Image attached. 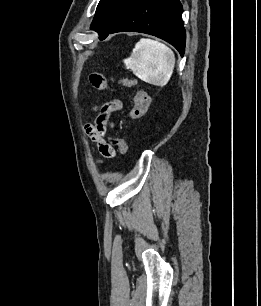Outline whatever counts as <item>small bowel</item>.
<instances>
[{
    "instance_id": "1",
    "label": "small bowel",
    "mask_w": 261,
    "mask_h": 306,
    "mask_svg": "<svg viewBox=\"0 0 261 306\" xmlns=\"http://www.w3.org/2000/svg\"><path fill=\"white\" fill-rule=\"evenodd\" d=\"M122 108V102L115 100L102 105L99 114L95 120V124L86 126V133L92 141H94L99 149L100 154L104 158H112L115 156V149L106 141L104 137L105 130L109 124L111 113Z\"/></svg>"
}]
</instances>
